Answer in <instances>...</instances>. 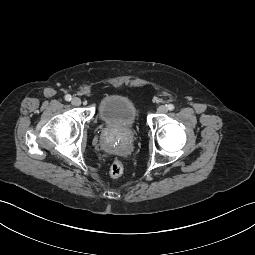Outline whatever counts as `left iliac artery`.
I'll use <instances>...</instances> for the list:
<instances>
[{
    "label": "left iliac artery",
    "mask_w": 255,
    "mask_h": 255,
    "mask_svg": "<svg viewBox=\"0 0 255 255\" xmlns=\"http://www.w3.org/2000/svg\"><path fill=\"white\" fill-rule=\"evenodd\" d=\"M167 108H168V110L171 111V110H174L175 107H174L173 104H168V105H167Z\"/></svg>",
    "instance_id": "44dca946"
}]
</instances>
